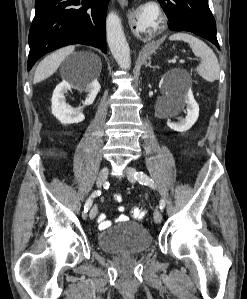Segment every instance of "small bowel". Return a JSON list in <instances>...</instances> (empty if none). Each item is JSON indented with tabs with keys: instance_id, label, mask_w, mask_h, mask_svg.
I'll list each match as a JSON object with an SVG mask.
<instances>
[{
	"instance_id": "c3829d8e",
	"label": "small bowel",
	"mask_w": 247,
	"mask_h": 299,
	"mask_svg": "<svg viewBox=\"0 0 247 299\" xmlns=\"http://www.w3.org/2000/svg\"><path fill=\"white\" fill-rule=\"evenodd\" d=\"M113 198L117 202L122 201V196L119 193H115L114 196H113ZM118 211L119 212H123L124 211V207L123 206H119L118 207ZM127 219H128V217L126 215H124V214H121L118 217L119 221H126ZM98 223H99V228L101 230L108 228L112 224V222L106 218V215L104 213L99 214V216H98Z\"/></svg>"
}]
</instances>
